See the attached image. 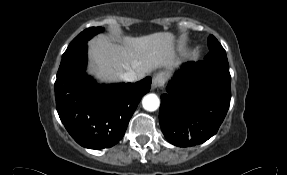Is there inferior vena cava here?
<instances>
[{
    "mask_svg": "<svg viewBox=\"0 0 287 175\" xmlns=\"http://www.w3.org/2000/svg\"><path fill=\"white\" fill-rule=\"evenodd\" d=\"M121 79L126 82H135L138 80V75L134 71H128L121 75Z\"/></svg>",
    "mask_w": 287,
    "mask_h": 175,
    "instance_id": "1",
    "label": "inferior vena cava"
}]
</instances>
